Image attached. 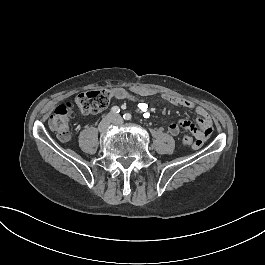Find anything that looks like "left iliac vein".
<instances>
[{
	"label": "left iliac vein",
	"instance_id": "obj_1",
	"mask_svg": "<svg viewBox=\"0 0 265 265\" xmlns=\"http://www.w3.org/2000/svg\"><path fill=\"white\" fill-rule=\"evenodd\" d=\"M112 123L114 124H123V119L120 115H112Z\"/></svg>",
	"mask_w": 265,
	"mask_h": 265
}]
</instances>
